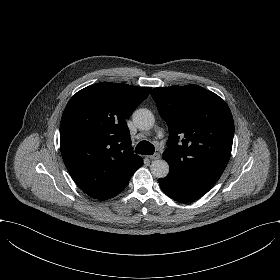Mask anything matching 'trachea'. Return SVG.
Returning a JSON list of instances; mask_svg holds the SVG:
<instances>
[{"label":"trachea","mask_w":280,"mask_h":280,"mask_svg":"<svg viewBox=\"0 0 280 280\" xmlns=\"http://www.w3.org/2000/svg\"><path fill=\"white\" fill-rule=\"evenodd\" d=\"M135 153L143 155L154 154V146L148 141H141L135 148Z\"/></svg>","instance_id":"obj_1"}]
</instances>
